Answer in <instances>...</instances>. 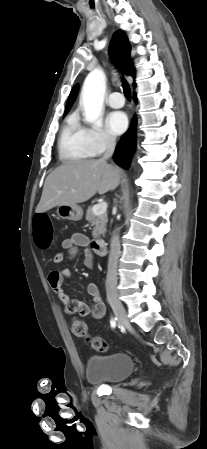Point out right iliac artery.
Masks as SVG:
<instances>
[{
    "instance_id": "1",
    "label": "right iliac artery",
    "mask_w": 207,
    "mask_h": 449,
    "mask_svg": "<svg viewBox=\"0 0 207 449\" xmlns=\"http://www.w3.org/2000/svg\"><path fill=\"white\" fill-rule=\"evenodd\" d=\"M116 323H117V318H112L110 321L111 327L115 328L116 327Z\"/></svg>"
}]
</instances>
